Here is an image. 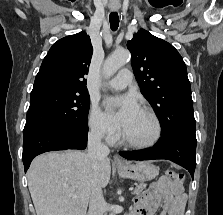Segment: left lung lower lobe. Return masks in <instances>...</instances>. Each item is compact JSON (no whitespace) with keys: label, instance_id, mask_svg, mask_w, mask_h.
Wrapping results in <instances>:
<instances>
[{"label":"left lung lower lobe","instance_id":"obj_1","mask_svg":"<svg viewBox=\"0 0 223 215\" xmlns=\"http://www.w3.org/2000/svg\"><path fill=\"white\" fill-rule=\"evenodd\" d=\"M196 135L192 131H176L161 135L151 148L137 151H121L128 160H171L189 171L194 178L196 167Z\"/></svg>","mask_w":223,"mask_h":215}]
</instances>
